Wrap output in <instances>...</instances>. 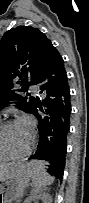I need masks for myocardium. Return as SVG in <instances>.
Segmentation results:
<instances>
[{"instance_id":"f54148a6","label":"myocardium","mask_w":89,"mask_h":203,"mask_svg":"<svg viewBox=\"0 0 89 203\" xmlns=\"http://www.w3.org/2000/svg\"><path fill=\"white\" fill-rule=\"evenodd\" d=\"M11 125H13V122L12 121H7L1 128V140L4 143V150H5V145L7 144V129ZM29 144H30V141L25 145L24 148H22L21 150H19L18 152H15V153H8L5 150L6 157H8V158L20 157V156L26 154L30 149Z\"/></svg>"}]
</instances>
